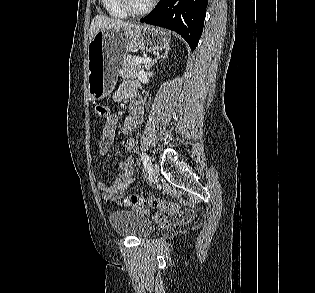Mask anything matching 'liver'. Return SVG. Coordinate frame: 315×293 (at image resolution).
Returning a JSON list of instances; mask_svg holds the SVG:
<instances>
[{
    "label": "liver",
    "mask_w": 315,
    "mask_h": 293,
    "mask_svg": "<svg viewBox=\"0 0 315 293\" xmlns=\"http://www.w3.org/2000/svg\"><path fill=\"white\" fill-rule=\"evenodd\" d=\"M131 23L119 19L110 18L104 15H97L93 18L89 30V41H91L99 30L111 28H123L130 26Z\"/></svg>",
    "instance_id": "obj_1"
}]
</instances>
